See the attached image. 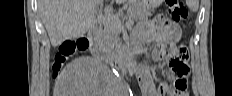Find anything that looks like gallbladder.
I'll return each mask as SVG.
<instances>
[{"label": "gallbladder", "mask_w": 232, "mask_h": 96, "mask_svg": "<svg viewBox=\"0 0 232 96\" xmlns=\"http://www.w3.org/2000/svg\"><path fill=\"white\" fill-rule=\"evenodd\" d=\"M98 11H99V9H98V7H96V8H95L96 14H98Z\"/></svg>", "instance_id": "1"}]
</instances>
